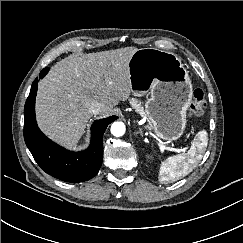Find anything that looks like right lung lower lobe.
Returning a JSON list of instances; mask_svg holds the SVG:
<instances>
[{"instance_id": "obj_1", "label": "right lung lower lobe", "mask_w": 243, "mask_h": 243, "mask_svg": "<svg viewBox=\"0 0 243 243\" xmlns=\"http://www.w3.org/2000/svg\"><path fill=\"white\" fill-rule=\"evenodd\" d=\"M44 68L39 77L48 72ZM37 81L33 82L24 107V139L38 165L49 175L66 182H83L94 177L103 160V134L107 126L117 119L111 116L97 120L91 127L92 139L88 149L81 152L66 150L48 139L37 126L35 119V97Z\"/></svg>"}]
</instances>
